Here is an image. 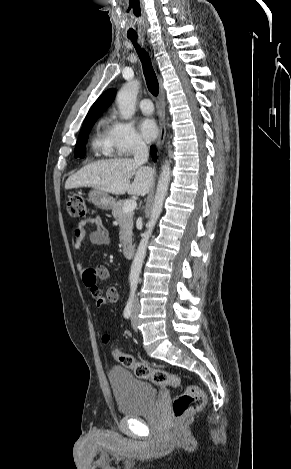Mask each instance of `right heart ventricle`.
<instances>
[{"instance_id":"1","label":"right heart ventricle","mask_w":291,"mask_h":469,"mask_svg":"<svg viewBox=\"0 0 291 469\" xmlns=\"http://www.w3.org/2000/svg\"><path fill=\"white\" fill-rule=\"evenodd\" d=\"M106 125L104 121H100L97 127V131L92 139V150L99 155L110 156L112 151L109 147L107 134H106Z\"/></svg>"}]
</instances>
